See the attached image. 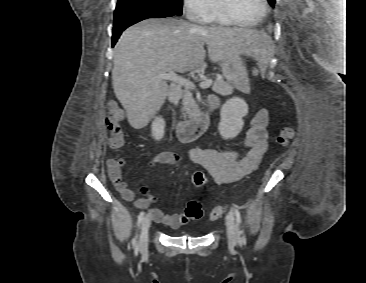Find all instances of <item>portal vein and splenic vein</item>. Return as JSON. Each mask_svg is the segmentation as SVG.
Wrapping results in <instances>:
<instances>
[{
    "mask_svg": "<svg viewBox=\"0 0 366 283\" xmlns=\"http://www.w3.org/2000/svg\"><path fill=\"white\" fill-rule=\"evenodd\" d=\"M161 78L162 79H166V80H170L171 82L173 83H177L181 86H184L186 90H189V89H195V85L193 82H191L190 80L188 79H184L183 77L177 75L175 72L173 71H169L168 73L166 74H162L161 75ZM213 80L212 79H206L204 81H202L199 86L201 88H207L209 87L211 84H212Z\"/></svg>",
    "mask_w": 366,
    "mask_h": 283,
    "instance_id": "1",
    "label": "portal vein and splenic vein"
}]
</instances>
